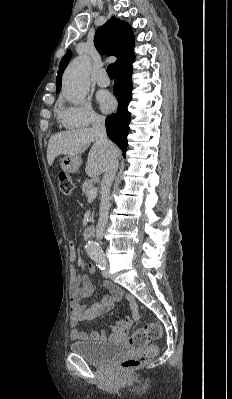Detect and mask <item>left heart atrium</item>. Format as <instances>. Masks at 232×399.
<instances>
[{"instance_id":"obj_1","label":"left heart atrium","mask_w":232,"mask_h":399,"mask_svg":"<svg viewBox=\"0 0 232 399\" xmlns=\"http://www.w3.org/2000/svg\"><path fill=\"white\" fill-rule=\"evenodd\" d=\"M100 105L104 112H112L116 108L115 100L110 95H104L101 97Z\"/></svg>"}]
</instances>
